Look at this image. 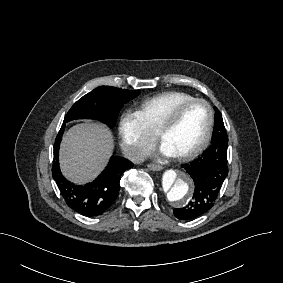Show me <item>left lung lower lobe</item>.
I'll use <instances>...</instances> for the list:
<instances>
[{
	"instance_id": "obj_1",
	"label": "left lung lower lobe",
	"mask_w": 283,
	"mask_h": 283,
	"mask_svg": "<svg viewBox=\"0 0 283 283\" xmlns=\"http://www.w3.org/2000/svg\"><path fill=\"white\" fill-rule=\"evenodd\" d=\"M211 143L206 152L184 166L193 179L194 193L186 207L174 209V215L179 219L191 220L209 211L227 177L228 137L222 117H215Z\"/></svg>"
}]
</instances>
